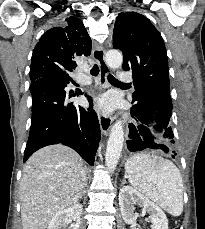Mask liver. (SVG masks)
<instances>
[{
    "instance_id": "liver-1",
    "label": "liver",
    "mask_w": 205,
    "mask_h": 229,
    "mask_svg": "<svg viewBox=\"0 0 205 229\" xmlns=\"http://www.w3.org/2000/svg\"><path fill=\"white\" fill-rule=\"evenodd\" d=\"M86 175L83 159L67 146L36 151L24 165L20 182L23 229H46L56 213L77 203Z\"/></svg>"
}]
</instances>
